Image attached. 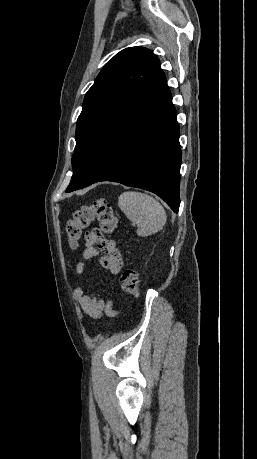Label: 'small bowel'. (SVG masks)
<instances>
[{"label": "small bowel", "mask_w": 257, "mask_h": 459, "mask_svg": "<svg viewBox=\"0 0 257 459\" xmlns=\"http://www.w3.org/2000/svg\"><path fill=\"white\" fill-rule=\"evenodd\" d=\"M95 257H99L100 265L111 274H118L122 269L123 260L116 243L113 240L102 239L98 231H92L86 236L83 256L75 264V274L80 277L85 276L87 261ZM73 295L83 313L93 319L100 318L103 313L110 317L120 313V310L113 308L111 300L97 298L88 293L84 287H76Z\"/></svg>", "instance_id": "c3829d8e"}]
</instances>
